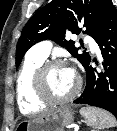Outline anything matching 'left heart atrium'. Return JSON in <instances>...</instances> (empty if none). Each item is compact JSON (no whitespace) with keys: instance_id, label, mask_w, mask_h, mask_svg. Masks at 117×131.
<instances>
[{"instance_id":"obj_1","label":"left heart atrium","mask_w":117,"mask_h":131,"mask_svg":"<svg viewBox=\"0 0 117 131\" xmlns=\"http://www.w3.org/2000/svg\"><path fill=\"white\" fill-rule=\"evenodd\" d=\"M68 69H69V71L71 72L72 75L76 76L75 71L72 68H68Z\"/></svg>"}]
</instances>
